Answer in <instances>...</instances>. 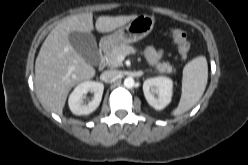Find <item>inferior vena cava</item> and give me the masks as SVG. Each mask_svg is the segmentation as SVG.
Instances as JSON below:
<instances>
[{"instance_id":"1","label":"inferior vena cava","mask_w":248,"mask_h":165,"mask_svg":"<svg viewBox=\"0 0 248 165\" xmlns=\"http://www.w3.org/2000/svg\"><path fill=\"white\" fill-rule=\"evenodd\" d=\"M120 75V71L118 70H106L102 73L101 77L104 79V80H110V79H115L117 78L118 76Z\"/></svg>"}]
</instances>
